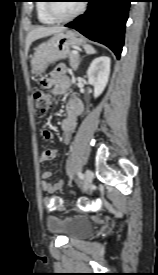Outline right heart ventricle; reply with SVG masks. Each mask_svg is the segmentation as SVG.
<instances>
[{
    "label": "right heart ventricle",
    "instance_id": "right-heart-ventricle-1",
    "mask_svg": "<svg viewBox=\"0 0 158 275\" xmlns=\"http://www.w3.org/2000/svg\"><path fill=\"white\" fill-rule=\"evenodd\" d=\"M47 0H39L36 5L38 20L43 24H54L56 21L48 14L46 5Z\"/></svg>",
    "mask_w": 158,
    "mask_h": 275
}]
</instances>
